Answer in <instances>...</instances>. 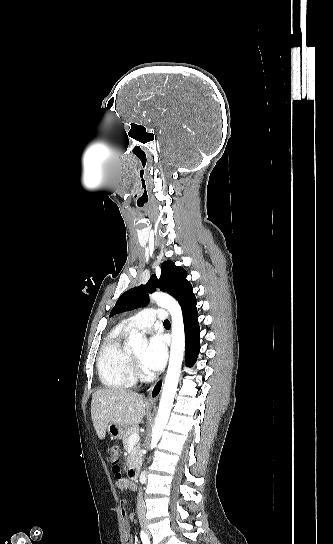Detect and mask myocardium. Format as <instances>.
Here are the masks:
<instances>
[{"label": "myocardium", "instance_id": "1", "mask_svg": "<svg viewBox=\"0 0 333 544\" xmlns=\"http://www.w3.org/2000/svg\"><path fill=\"white\" fill-rule=\"evenodd\" d=\"M130 358H131L132 369L135 375H137L140 379H146L148 377V373L142 367L141 362L137 358V356L131 352Z\"/></svg>", "mask_w": 333, "mask_h": 544}]
</instances>
